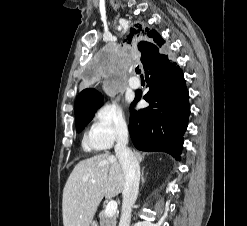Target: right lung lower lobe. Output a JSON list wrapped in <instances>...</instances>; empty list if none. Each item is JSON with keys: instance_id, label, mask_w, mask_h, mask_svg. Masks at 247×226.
I'll return each instance as SVG.
<instances>
[{"instance_id": "98d812e1", "label": "right lung lower lobe", "mask_w": 247, "mask_h": 226, "mask_svg": "<svg viewBox=\"0 0 247 226\" xmlns=\"http://www.w3.org/2000/svg\"><path fill=\"white\" fill-rule=\"evenodd\" d=\"M143 66L150 76V89L143 98L150 106L137 112L133 107L141 95L135 97L130 108L131 139L139 150L165 151L179 160L190 113L182 70L170 60L165 47L149 50Z\"/></svg>"}]
</instances>
